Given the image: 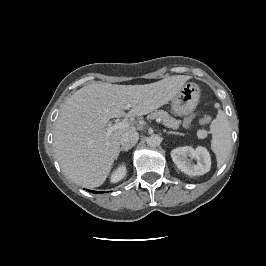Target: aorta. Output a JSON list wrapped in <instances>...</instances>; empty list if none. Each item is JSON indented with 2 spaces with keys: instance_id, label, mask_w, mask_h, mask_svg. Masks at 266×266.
I'll return each mask as SVG.
<instances>
[{
  "instance_id": "762f6f07",
  "label": "aorta",
  "mask_w": 266,
  "mask_h": 266,
  "mask_svg": "<svg viewBox=\"0 0 266 266\" xmlns=\"http://www.w3.org/2000/svg\"><path fill=\"white\" fill-rule=\"evenodd\" d=\"M161 142H162V138L158 135H151L147 139V144L151 147H157L161 144Z\"/></svg>"
}]
</instances>
